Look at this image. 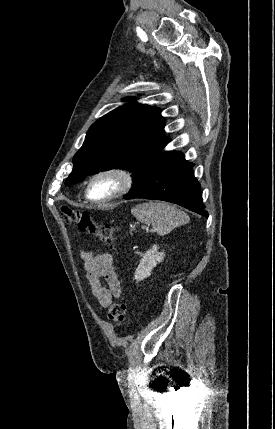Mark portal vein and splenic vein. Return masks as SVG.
<instances>
[{
  "mask_svg": "<svg viewBox=\"0 0 275 429\" xmlns=\"http://www.w3.org/2000/svg\"><path fill=\"white\" fill-rule=\"evenodd\" d=\"M142 229H145L146 227L144 225L141 226Z\"/></svg>",
  "mask_w": 275,
  "mask_h": 429,
  "instance_id": "1",
  "label": "portal vein and splenic vein"
}]
</instances>
